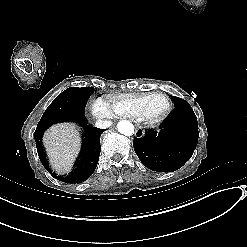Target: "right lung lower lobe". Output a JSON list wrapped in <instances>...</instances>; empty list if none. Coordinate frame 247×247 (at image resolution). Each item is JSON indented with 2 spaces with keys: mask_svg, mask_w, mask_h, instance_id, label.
I'll return each mask as SVG.
<instances>
[{
  "mask_svg": "<svg viewBox=\"0 0 247 247\" xmlns=\"http://www.w3.org/2000/svg\"><path fill=\"white\" fill-rule=\"evenodd\" d=\"M73 121L78 123L84 128V143L81 151V155L77 160L76 167L73 172L68 176H58L49 167L44 149L42 147L41 138L44 131L56 122ZM104 129H97L91 125H87V121L84 118V114H75L67 117H57L49 120L39 121L35 130V141L37 152L42 165L47 171L57 180L66 183H81L88 179L94 172L101 151L100 135Z\"/></svg>",
  "mask_w": 247,
  "mask_h": 247,
  "instance_id": "right-lung-lower-lobe-1",
  "label": "right lung lower lobe"
}]
</instances>
